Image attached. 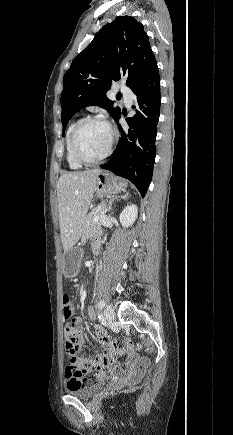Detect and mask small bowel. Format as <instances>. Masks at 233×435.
Returning a JSON list of instances; mask_svg holds the SVG:
<instances>
[{
	"mask_svg": "<svg viewBox=\"0 0 233 435\" xmlns=\"http://www.w3.org/2000/svg\"><path fill=\"white\" fill-rule=\"evenodd\" d=\"M95 244H97L98 248L100 249L99 243L95 242L94 247ZM71 306L74 311V305L72 303ZM87 315L90 318L96 317L95 311L93 309H89L87 311ZM93 331H94L96 342L99 345L105 346L110 341V338L107 336L104 328L101 325L96 324L93 328ZM83 342H84V333L82 330H80L79 344L81 345ZM118 355L126 357L127 371L129 374L132 375L139 373L141 370L144 369V367L147 364L146 360L139 358L135 354V352L132 351L131 349H121L119 352H111L109 354H99L93 358L83 357V356L78 357V362L80 363V365L75 367L73 365L68 364V366L65 368L64 371V377L67 383L75 385L81 379H84L78 375V369L84 368L87 371H91L96 362H100L101 366L98 368V371L94 374V377L100 378V377L110 376L116 372L123 370V367L118 361Z\"/></svg>",
	"mask_w": 233,
	"mask_h": 435,
	"instance_id": "c3829d8e",
	"label": "small bowel"
}]
</instances>
